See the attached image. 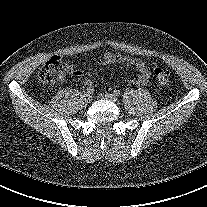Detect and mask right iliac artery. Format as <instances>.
Wrapping results in <instances>:
<instances>
[{"label":"right iliac artery","instance_id":"1","mask_svg":"<svg viewBox=\"0 0 207 207\" xmlns=\"http://www.w3.org/2000/svg\"><path fill=\"white\" fill-rule=\"evenodd\" d=\"M86 91L88 94H92L94 92V89L92 87H88Z\"/></svg>","mask_w":207,"mask_h":207}]
</instances>
